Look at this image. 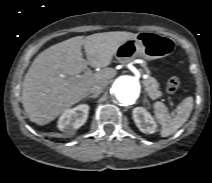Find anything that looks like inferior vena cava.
I'll list each match as a JSON object with an SVG mask.
<instances>
[{
    "label": "inferior vena cava",
    "instance_id": "1",
    "mask_svg": "<svg viewBox=\"0 0 212 183\" xmlns=\"http://www.w3.org/2000/svg\"><path fill=\"white\" fill-rule=\"evenodd\" d=\"M106 87V85L104 83H98V84H95L93 85L89 92L93 95H99L103 92L104 88Z\"/></svg>",
    "mask_w": 212,
    "mask_h": 183
}]
</instances>
